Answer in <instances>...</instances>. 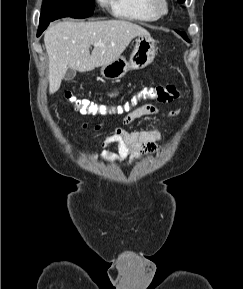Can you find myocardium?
<instances>
[{
  "mask_svg": "<svg viewBox=\"0 0 243 289\" xmlns=\"http://www.w3.org/2000/svg\"><path fill=\"white\" fill-rule=\"evenodd\" d=\"M149 9L158 17L166 15L169 11L168 0H147Z\"/></svg>",
  "mask_w": 243,
  "mask_h": 289,
  "instance_id": "obj_1",
  "label": "myocardium"
}]
</instances>
